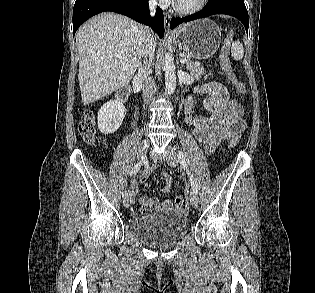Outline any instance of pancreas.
<instances>
[{"instance_id":"obj_1","label":"pancreas","mask_w":315,"mask_h":293,"mask_svg":"<svg viewBox=\"0 0 315 293\" xmlns=\"http://www.w3.org/2000/svg\"><path fill=\"white\" fill-rule=\"evenodd\" d=\"M186 68L190 76L193 78H199L204 75V70L199 65L198 62H194V61H191L190 59H187Z\"/></svg>"}]
</instances>
